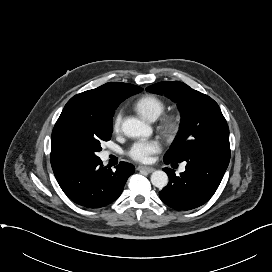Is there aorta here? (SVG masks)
<instances>
[{
	"label": "aorta",
	"mask_w": 272,
	"mask_h": 272,
	"mask_svg": "<svg viewBox=\"0 0 272 272\" xmlns=\"http://www.w3.org/2000/svg\"><path fill=\"white\" fill-rule=\"evenodd\" d=\"M122 131L128 137H149L152 128L137 118H127L122 123ZM151 183L157 188H163L168 184V176L162 170H157L151 175Z\"/></svg>",
	"instance_id": "1"
}]
</instances>
